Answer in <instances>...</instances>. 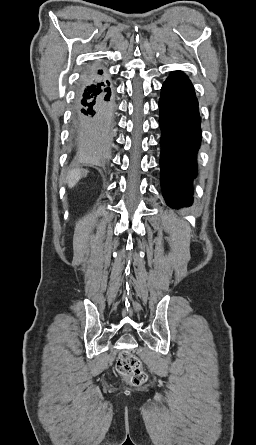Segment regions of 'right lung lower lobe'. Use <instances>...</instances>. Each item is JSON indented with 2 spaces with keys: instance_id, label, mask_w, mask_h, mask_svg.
Returning <instances> with one entry per match:
<instances>
[{
  "instance_id": "obj_1",
  "label": "right lung lower lobe",
  "mask_w": 256,
  "mask_h": 445,
  "mask_svg": "<svg viewBox=\"0 0 256 445\" xmlns=\"http://www.w3.org/2000/svg\"><path fill=\"white\" fill-rule=\"evenodd\" d=\"M114 98L110 82L81 85L75 112V134L80 159L103 163L109 157Z\"/></svg>"
}]
</instances>
